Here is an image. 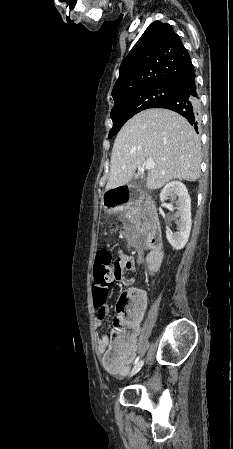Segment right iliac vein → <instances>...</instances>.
<instances>
[{"instance_id": "63e3f726", "label": "right iliac vein", "mask_w": 233, "mask_h": 449, "mask_svg": "<svg viewBox=\"0 0 233 449\" xmlns=\"http://www.w3.org/2000/svg\"><path fill=\"white\" fill-rule=\"evenodd\" d=\"M144 364V360L139 361L136 366L132 369V371L129 373L128 377H132L133 375H135L143 366Z\"/></svg>"}]
</instances>
